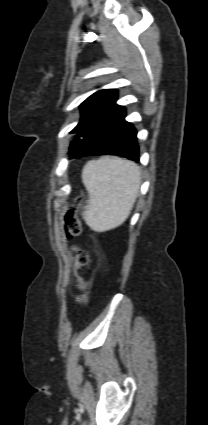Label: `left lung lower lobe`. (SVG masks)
Masks as SVG:
<instances>
[{
    "instance_id": "1",
    "label": "left lung lower lobe",
    "mask_w": 208,
    "mask_h": 425,
    "mask_svg": "<svg viewBox=\"0 0 208 425\" xmlns=\"http://www.w3.org/2000/svg\"><path fill=\"white\" fill-rule=\"evenodd\" d=\"M115 102L116 99L76 135L81 143L80 155H116L139 161L136 130L125 121V108Z\"/></svg>"
}]
</instances>
